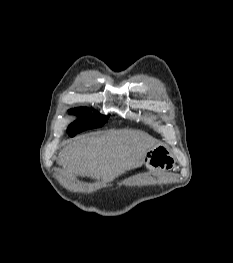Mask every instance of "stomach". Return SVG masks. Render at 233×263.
<instances>
[{"mask_svg":"<svg viewBox=\"0 0 233 263\" xmlns=\"http://www.w3.org/2000/svg\"><path fill=\"white\" fill-rule=\"evenodd\" d=\"M144 164L150 169L169 170L175 166V160L162 144H155L146 152Z\"/></svg>","mask_w":233,"mask_h":263,"instance_id":"0dacf381","label":"stomach"}]
</instances>
